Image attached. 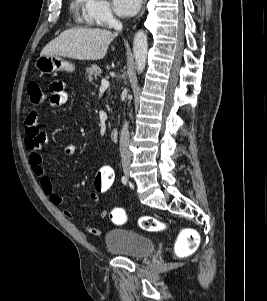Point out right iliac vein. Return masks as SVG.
<instances>
[{"label":"right iliac vein","mask_w":267,"mask_h":301,"mask_svg":"<svg viewBox=\"0 0 267 301\" xmlns=\"http://www.w3.org/2000/svg\"><path fill=\"white\" fill-rule=\"evenodd\" d=\"M123 170H124L125 175L127 177H129L130 172H131L130 166L129 165H124Z\"/></svg>","instance_id":"63e3f726"}]
</instances>
